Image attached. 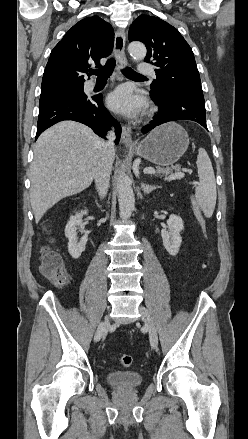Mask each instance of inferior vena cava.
I'll return each instance as SVG.
<instances>
[{"label":"inferior vena cava","instance_id":"602c4592","mask_svg":"<svg viewBox=\"0 0 248 439\" xmlns=\"http://www.w3.org/2000/svg\"><path fill=\"white\" fill-rule=\"evenodd\" d=\"M107 139L108 140L103 143V155L96 168L94 176L96 189L101 199L106 196L109 187L113 157L115 153L113 142L115 139L114 130L108 132Z\"/></svg>","mask_w":248,"mask_h":439}]
</instances>
